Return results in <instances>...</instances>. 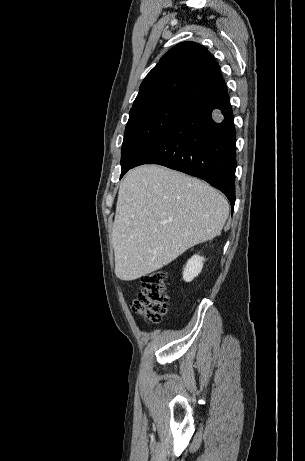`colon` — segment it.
Here are the masks:
<instances>
[{
  "mask_svg": "<svg viewBox=\"0 0 305 461\" xmlns=\"http://www.w3.org/2000/svg\"><path fill=\"white\" fill-rule=\"evenodd\" d=\"M169 298L166 286V272H151L143 277L142 289L134 299L131 309L152 323H158L166 314Z\"/></svg>",
  "mask_w": 305,
  "mask_h": 461,
  "instance_id": "colon-1",
  "label": "colon"
}]
</instances>
